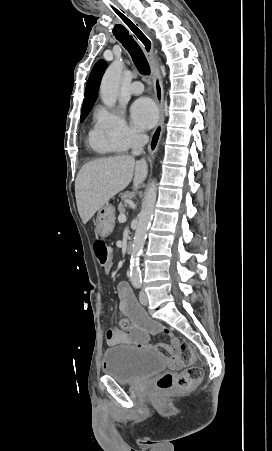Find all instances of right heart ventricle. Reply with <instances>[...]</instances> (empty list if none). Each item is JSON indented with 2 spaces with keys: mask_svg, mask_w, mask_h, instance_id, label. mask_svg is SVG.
<instances>
[{
  "mask_svg": "<svg viewBox=\"0 0 272 451\" xmlns=\"http://www.w3.org/2000/svg\"><path fill=\"white\" fill-rule=\"evenodd\" d=\"M90 144L91 146L101 153H111L114 152L117 147L110 141L102 138L97 130H93L90 134Z\"/></svg>",
  "mask_w": 272,
  "mask_h": 451,
  "instance_id": "right-heart-ventricle-1",
  "label": "right heart ventricle"
}]
</instances>
